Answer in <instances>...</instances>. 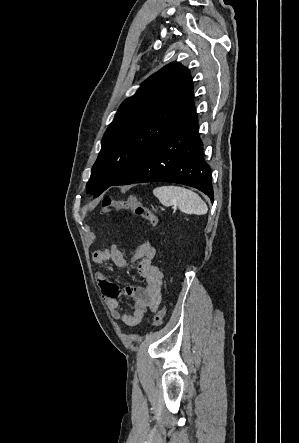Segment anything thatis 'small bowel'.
Wrapping results in <instances>:
<instances>
[{
	"label": "small bowel",
	"mask_w": 299,
	"mask_h": 443,
	"mask_svg": "<svg viewBox=\"0 0 299 443\" xmlns=\"http://www.w3.org/2000/svg\"><path fill=\"white\" fill-rule=\"evenodd\" d=\"M156 255L155 247L149 242L141 244L129 260H127L115 243L108 247L96 250L93 260L97 264L112 261L117 267L128 269L137 264L139 274L145 279L146 286H120L110 281L102 272L96 273V280L107 306L114 319L122 321L127 326H136L144 314L156 311L161 301L163 286V274L153 263ZM132 298L131 310L126 312L122 309L119 298Z\"/></svg>",
	"instance_id": "small-bowel-1"
}]
</instances>
